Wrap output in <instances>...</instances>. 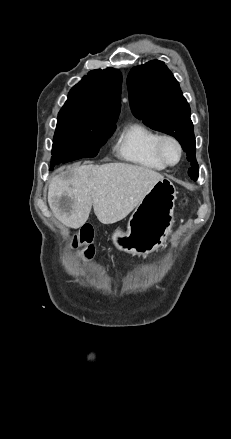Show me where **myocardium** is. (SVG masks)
Instances as JSON below:
<instances>
[{"instance_id":"obj_1","label":"myocardium","mask_w":231,"mask_h":439,"mask_svg":"<svg viewBox=\"0 0 231 439\" xmlns=\"http://www.w3.org/2000/svg\"><path fill=\"white\" fill-rule=\"evenodd\" d=\"M167 141L174 143L178 149V152H179L178 159L174 163L168 161V159L166 158V156L164 154L163 146H164V143ZM155 152H156V155L159 158V160L166 167H173V166L178 165L181 162V160L183 158V154H184V149H183L181 142L175 136H173L171 134H162V135H159V137L156 140Z\"/></svg>"}]
</instances>
